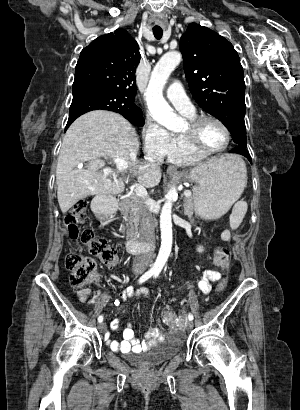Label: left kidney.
Masks as SVG:
<instances>
[{"label":"left kidney","instance_id":"obj_1","mask_svg":"<svg viewBox=\"0 0 300 410\" xmlns=\"http://www.w3.org/2000/svg\"><path fill=\"white\" fill-rule=\"evenodd\" d=\"M197 251L200 252V253L203 252V247L199 246V247L197 248Z\"/></svg>","mask_w":300,"mask_h":410}]
</instances>
